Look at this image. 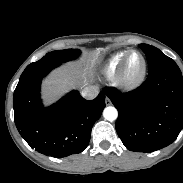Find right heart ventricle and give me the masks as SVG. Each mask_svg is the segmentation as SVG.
I'll return each mask as SVG.
<instances>
[{"mask_svg": "<svg viewBox=\"0 0 183 183\" xmlns=\"http://www.w3.org/2000/svg\"><path fill=\"white\" fill-rule=\"evenodd\" d=\"M128 51H120L115 54H113L106 64V71L109 74H113L116 72V70L119 68L122 60L124 59L125 55Z\"/></svg>", "mask_w": 183, "mask_h": 183, "instance_id": "obj_1", "label": "right heart ventricle"}]
</instances>
